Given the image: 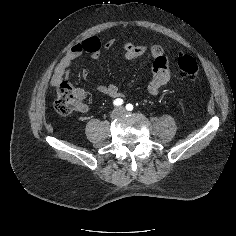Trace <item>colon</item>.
Listing matches in <instances>:
<instances>
[{"label":"colon","instance_id":"obj_1","mask_svg":"<svg viewBox=\"0 0 236 236\" xmlns=\"http://www.w3.org/2000/svg\"><path fill=\"white\" fill-rule=\"evenodd\" d=\"M178 69L181 77L195 79L199 73V64L194 57L183 55L178 60ZM85 96L82 89L62 83L57 89L55 110L64 117H70L82 106Z\"/></svg>","mask_w":236,"mask_h":236}]
</instances>
